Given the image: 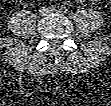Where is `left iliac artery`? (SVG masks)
<instances>
[{
	"instance_id": "left-iliac-artery-1",
	"label": "left iliac artery",
	"mask_w": 111,
	"mask_h": 106,
	"mask_svg": "<svg viewBox=\"0 0 111 106\" xmlns=\"http://www.w3.org/2000/svg\"><path fill=\"white\" fill-rule=\"evenodd\" d=\"M60 10L61 12L66 13L68 9L65 6H61Z\"/></svg>"
}]
</instances>
